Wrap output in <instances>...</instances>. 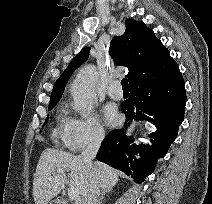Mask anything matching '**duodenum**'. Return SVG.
<instances>
[{
    "instance_id": "410a0bca",
    "label": "duodenum",
    "mask_w": 212,
    "mask_h": 204,
    "mask_svg": "<svg viewBox=\"0 0 212 204\" xmlns=\"http://www.w3.org/2000/svg\"><path fill=\"white\" fill-rule=\"evenodd\" d=\"M58 204H70V203L65 199H59Z\"/></svg>"
}]
</instances>
